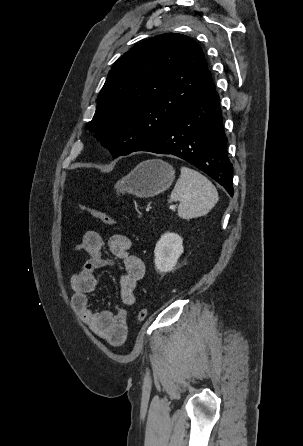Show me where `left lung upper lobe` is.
I'll return each mask as SVG.
<instances>
[{
    "mask_svg": "<svg viewBox=\"0 0 303 446\" xmlns=\"http://www.w3.org/2000/svg\"><path fill=\"white\" fill-rule=\"evenodd\" d=\"M212 81L202 48L170 33L143 41L112 66L87 127L114 157L165 133Z\"/></svg>",
    "mask_w": 303,
    "mask_h": 446,
    "instance_id": "1",
    "label": "left lung upper lobe"
}]
</instances>
